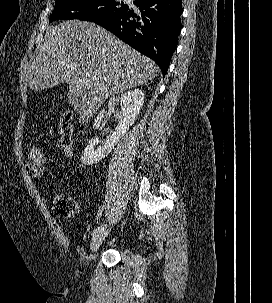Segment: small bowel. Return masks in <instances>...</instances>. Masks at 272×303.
Here are the masks:
<instances>
[{"instance_id":"obj_1","label":"small bowel","mask_w":272,"mask_h":303,"mask_svg":"<svg viewBox=\"0 0 272 303\" xmlns=\"http://www.w3.org/2000/svg\"><path fill=\"white\" fill-rule=\"evenodd\" d=\"M26 167H27V170H28V172L30 173L31 176L36 177V178H41V177H43L42 175L36 174V173L32 170L31 165H30V162H29V157H28L27 162H26Z\"/></svg>"}]
</instances>
